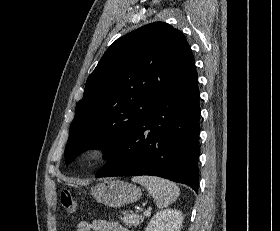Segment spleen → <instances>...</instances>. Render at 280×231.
<instances>
[{"mask_svg":"<svg viewBox=\"0 0 280 231\" xmlns=\"http://www.w3.org/2000/svg\"><path fill=\"white\" fill-rule=\"evenodd\" d=\"M132 181H137L147 187L149 193L156 199L157 207H167L173 203L179 195V187L169 179L155 177V175H136Z\"/></svg>","mask_w":280,"mask_h":231,"instance_id":"3e777b00","label":"spleen"}]
</instances>
